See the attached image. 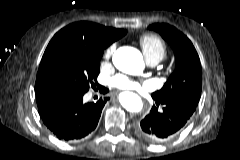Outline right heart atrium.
<instances>
[{
  "mask_svg": "<svg viewBox=\"0 0 240 160\" xmlns=\"http://www.w3.org/2000/svg\"><path fill=\"white\" fill-rule=\"evenodd\" d=\"M115 48H116V46L113 44V45L109 46V47L105 50V52H104V58H105L106 60H109V59L112 57V55H113V53H114V51H115Z\"/></svg>",
  "mask_w": 240,
  "mask_h": 160,
  "instance_id": "right-heart-atrium-1",
  "label": "right heart atrium"
}]
</instances>
